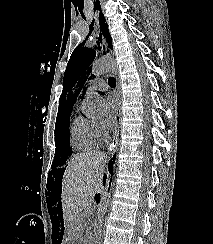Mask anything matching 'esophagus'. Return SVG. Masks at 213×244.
Returning a JSON list of instances; mask_svg holds the SVG:
<instances>
[{
	"label": "esophagus",
	"mask_w": 213,
	"mask_h": 244,
	"mask_svg": "<svg viewBox=\"0 0 213 244\" xmlns=\"http://www.w3.org/2000/svg\"><path fill=\"white\" fill-rule=\"evenodd\" d=\"M104 41L106 43V39ZM115 96H116L117 103H118V110H117V117H116V122H115L116 124H115V128H114L113 137L109 144V150H113L115 148L116 143H117L118 134H119V122H120L121 110H120V98L118 95V88L115 90Z\"/></svg>",
	"instance_id": "1"
}]
</instances>
